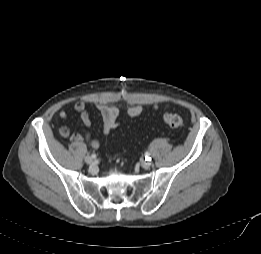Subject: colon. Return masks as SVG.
<instances>
[{"instance_id": "obj_1", "label": "colon", "mask_w": 261, "mask_h": 254, "mask_svg": "<svg viewBox=\"0 0 261 254\" xmlns=\"http://www.w3.org/2000/svg\"><path fill=\"white\" fill-rule=\"evenodd\" d=\"M163 121L171 128H181L184 125L182 117L176 113L164 114Z\"/></svg>"}]
</instances>
